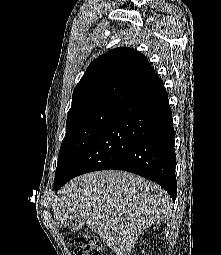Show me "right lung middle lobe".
<instances>
[{
	"label": "right lung middle lobe",
	"mask_w": 221,
	"mask_h": 255,
	"mask_svg": "<svg viewBox=\"0 0 221 255\" xmlns=\"http://www.w3.org/2000/svg\"><path fill=\"white\" fill-rule=\"evenodd\" d=\"M119 105H102L68 116L54 184L59 182L93 142Z\"/></svg>",
	"instance_id": "1"
}]
</instances>
